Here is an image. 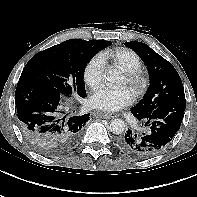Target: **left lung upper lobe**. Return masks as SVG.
Returning a JSON list of instances; mask_svg holds the SVG:
<instances>
[{"instance_id":"1","label":"left lung upper lobe","mask_w":197,"mask_h":197,"mask_svg":"<svg viewBox=\"0 0 197 197\" xmlns=\"http://www.w3.org/2000/svg\"><path fill=\"white\" fill-rule=\"evenodd\" d=\"M125 45L139 55L147 66L150 76V85L146 94L131 109L134 114L143 116L163 103L185 100L181 78L170 62L145 43L133 41L126 42Z\"/></svg>"}]
</instances>
